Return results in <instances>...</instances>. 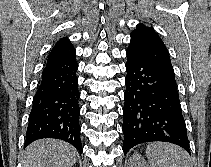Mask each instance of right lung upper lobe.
I'll use <instances>...</instances> for the list:
<instances>
[{"label":"right lung upper lobe","instance_id":"1","mask_svg":"<svg viewBox=\"0 0 211 167\" xmlns=\"http://www.w3.org/2000/svg\"><path fill=\"white\" fill-rule=\"evenodd\" d=\"M76 50L71 44L68 38L60 39L55 46L52 48L48 59L47 64L58 62L64 59L75 56Z\"/></svg>","mask_w":211,"mask_h":167}]
</instances>
